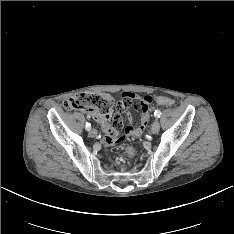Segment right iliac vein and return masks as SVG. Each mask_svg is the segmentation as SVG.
I'll list each match as a JSON object with an SVG mask.
<instances>
[{
    "label": "right iliac vein",
    "mask_w": 234,
    "mask_h": 234,
    "mask_svg": "<svg viewBox=\"0 0 234 234\" xmlns=\"http://www.w3.org/2000/svg\"><path fill=\"white\" fill-rule=\"evenodd\" d=\"M90 137H96L97 136V130L96 129H90L89 130Z\"/></svg>",
    "instance_id": "right-iliac-vein-1"
}]
</instances>
